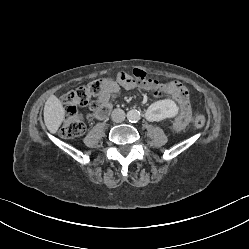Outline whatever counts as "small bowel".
I'll return each instance as SVG.
<instances>
[{
	"instance_id": "c3829d8e",
	"label": "small bowel",
	"mask_w": 249,
	"mask_h": 249,
	"mask_svg": "<svg viewBox=\"0 0 249 249\" xmlns=\"http://www.w3.org/2000/svg\"><path fill=\"white\" fill-rule=\"evenodd\" d=\"M138 86L154 91L152 93L154 100H159L161 95L167 93L174 98L170 100L175 101L179 108L178 114L174 118V126L177 130L184 129L190 123L192 111L185 88L177 81L160 83L140 67L135 68L131 74L118 73L116 80L109 83L98 95L97 101L100 108L93 114V117L99 120L106 119L112 110L111 101L120 94L121 88L132 90Z\"/></svg>"
}]
</instances>
